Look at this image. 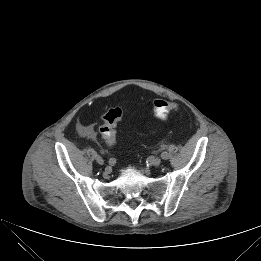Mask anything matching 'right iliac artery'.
Wrapping results in <instances>:
<instances>
[{
  "label": "right iliac artery",
  "instance_id": "1",
  "mask_svg": "<svg viewBox=\"0 0 261 261\" xmlns=\"http://www.w3.org/2000/svg\"><path fill=\"white\" fill-rule=\"evenodd\" d=\"M108 163H109L110 165H114V164L116 163V159L113 158V157H111V158L108 160Z\"/></svg>",
  "mask_w": 261,
  "mask_h": 261
}]
</instances>
